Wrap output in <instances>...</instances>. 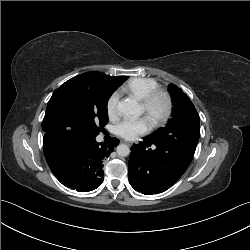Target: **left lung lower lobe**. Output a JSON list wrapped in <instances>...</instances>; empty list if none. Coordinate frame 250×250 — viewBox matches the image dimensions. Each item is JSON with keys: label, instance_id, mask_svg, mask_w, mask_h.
I'll use <instances>...</instances> for the list:
<instances>
[{"label": "left lung lower lobe", "instance_id": "left-lung-lower-lobe-1", "mask_svg": "<svg viewBox=\"0 0 250 250\" xmlns=\"http://www.w3.org/2000/svg\"><path fill=\"white\" fill-rule=\"evenodd\" d=\"M200 137V128L175 131L171 137L146 136L131 147L129 182L142 194L166 191L183 175L191 163Z\"/></svg>", "mask_w": 250, "mask_h": 250}]
</instances>
